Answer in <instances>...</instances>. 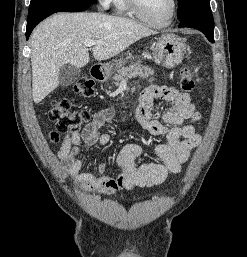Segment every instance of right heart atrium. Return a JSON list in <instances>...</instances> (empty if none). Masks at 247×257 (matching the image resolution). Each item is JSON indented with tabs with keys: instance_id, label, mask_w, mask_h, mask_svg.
<instances>
[{
	"instance_id": "right-heart-atrium-1",
	"label": "right heart atrium",
	"mask_w": 247,
	"mask_h": 257,
	"mask_svg": "<svg viewBox=\"0 0 247 257\" xmlns=\"http://www.w3.org/2000/svg\"><path fill=\"white\" fill-rule=\"evenodd\" d=\"M97 1L102 10H108L113 3V0H97Z\"/></svg>"
}]
</instances>
